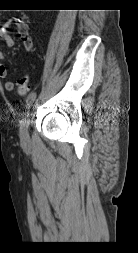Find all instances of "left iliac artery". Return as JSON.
<instances>
[{
	"mask_svg": "<svg viewBox=\"0 0 138 253\" xmlns=\"http://www.w3.org/2000/svg\"><path fill=\"white\" fill-rule=\"evenodd\" d=\"M36 93L35 92H33V93H31L30 95H29V97L27 98V100H26V108L27 109H30V107H31V105L33 104V102L35 101V99H36Z\"/></svg>",
	"mask_w": 138,
	"mask_h": 253,
	"instance_id": "left-iliac-artery-1",
	"label": "left iliac artery"
}]
</instances>
